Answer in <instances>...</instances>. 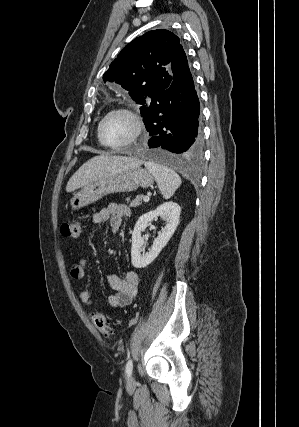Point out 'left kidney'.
<instances>
[{
    "instance_id": "5707ae66",
    "label": "left kidney",
    "mask_w": 299,
    "mask_h": 427,
    "mask_svg": "<svg viewBox=\"0 0 299 427\" xmlns=\"http://www.w3.org/2000/svg\"><path fill=\"white\" fill-rule=\"evenodd\" d=\"M181 208L175 202H165L155 210L143 214L135 224L132 233L131 262L135 268H144L153 262L161 250L167 245L179 224ZM161 217L166 225L154 240L151 249L144 251V238L141 233L149 223Z\"/></svg>"
}]
</instances>
